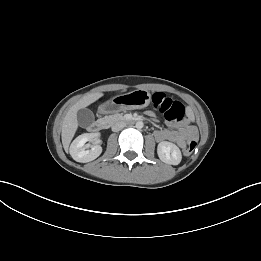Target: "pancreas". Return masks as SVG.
<instances>
[{
  "label": "pancreas",
  "mask_w": 261,
  "mask_h": 261,
  "mask_svg": "<svg viewBox=\"0 0 261 261\" xmlns=\"http://www.w3.org/2000/svg\"><path fill=\"white\" fill-rule=\"evenodd\" d=\"M121 119H123V116L119 115V114L105 117V120H108V121H111V122H114L116 120H121Z\"/></svg>",
  "instance_id": "pancreas-1"
}]
</instances>
